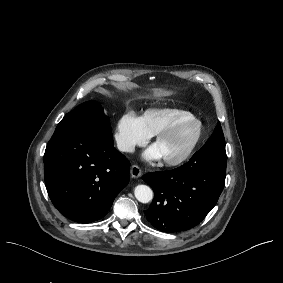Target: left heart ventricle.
Wrapping results in <instances>:
<instances>
[{
    "label": "left heart ventricle",
    "instance_id": "b2bd125f",
    "mask_svg": "<svg viewBox=\"0 0 283 283\" xmlns=\"http://www.w3.org/2000/svg\"><path fill=\"white\" fill-rule=\"evenodd\" d=\"M193 133L194 125L187 123L179 129L174 137L158 142L164 159H175L179 157L188 147Z\"/></svg>",
    "mask_w": 283,
    "mask_h": 283
}]
</instances>
